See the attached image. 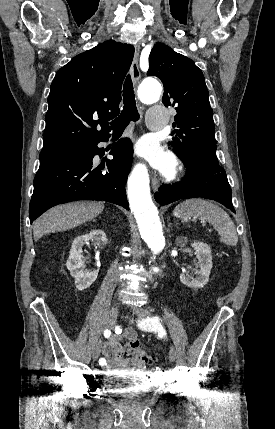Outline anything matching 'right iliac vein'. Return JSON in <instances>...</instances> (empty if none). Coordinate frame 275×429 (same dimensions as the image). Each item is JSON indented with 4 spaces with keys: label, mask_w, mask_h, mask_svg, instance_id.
<instances>
[{
    "label": "right iliac vein",
    "mask_w": 275,
    "mask_h": 429,
    "mask_svg": "<svg viewBox=\"0 0 275 429\" xmlns=\"http://www.w3.org/2000/svg\"><path fill=\"white\" fill-rule=\"evenodd\" d=\"M117 316H118V307H113L106 318L107 328L112 329L115 326L117 322ZM100 351H101V341L97 342L94 346L93 354H92L94 361L98 359L100 355Z\"/></svg>",
    "instance_id": "right-iliac-vein-1"
}]
</instances>
